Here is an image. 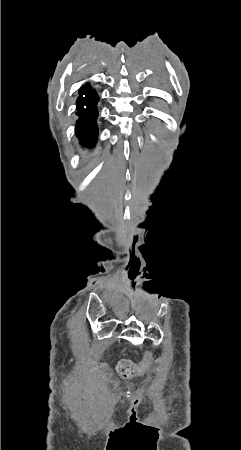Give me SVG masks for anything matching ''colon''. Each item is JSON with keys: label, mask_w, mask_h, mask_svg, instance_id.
Masks as SVG:
<instances>
[{"label": "colon", "mask_w": 241, "mask_h": 450, "mask_svg": "<svg viewBox=\"0 0 241 450\" xmlns=\"http://www.w3.org/2000/svg\"><path fill=\"white\" fill-rule=\"evenodd\" d=\"M142 355L145 358H143V360H142L143 364H140L138 367H137V363L135 361H132L131 363H126L124 361H121L116 368L118 370L120 369L123 372H125V371L126 372L134 371L136 374L137 373L138 374H143L145 372L144 371L145 366H148L151 363L150 358H148V357H150L151 352H150V350L145 349V350H143ZM137 368H138V370H137Z\"/></svg>", "instance_id": "1"}]
</instances>
